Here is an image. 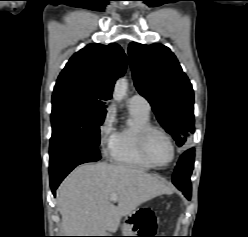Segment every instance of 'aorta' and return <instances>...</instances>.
<instances>
[{
  "label": "aorta",
  "mask_w": 248,
  "mask_h": 237,
  "mask_svg": "<svg viewBox=\"0 0 248 237\" xmlns=\"http://www.w3.org/2000/svg\"><path fill=\"white\" fill-rule=\"evenodd\" d=\"M128 89V81L125 77L119 78L114 87L113 99L120 102L126 95Z\"/></svg>",
  "instance_id": "1"
}]
</instances>
